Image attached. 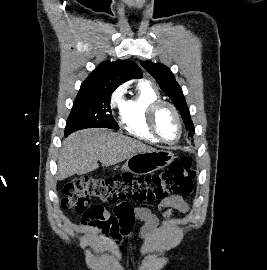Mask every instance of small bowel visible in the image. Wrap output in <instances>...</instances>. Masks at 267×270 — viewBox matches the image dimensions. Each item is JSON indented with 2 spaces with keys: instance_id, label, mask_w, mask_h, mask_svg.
Segmentation results:
<instances>
[{
  "instance_id": "obj_1",
  "label": "small bowel",
  "mask_w": 267,
  "mask_h": 270,
  "mask_svg": "<svg viewBox=\"0 0 267 270\" xmlns=\"http://www.w3.org/2000/svg\"><path fill=\"white\" fill-rule=\"evenodd\" d=\"M162 220L172 223L174 220L172 211L177 210L186 213L189 210L188 203L181 196L170 197L158 203ZM115 215L102 206H93L92 211L85 213L80 221V225L88 230L97 231L110 236L113 239H121L127 235L133 226L134 220L139 219L144 223V227L132 233L128 241L131 243L137 238L149 243L157 239L162 232L161 219L150 209L144 207H133L128 202H119L114 210Z\"/></svg>"
}]
</instances>
